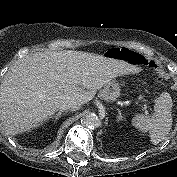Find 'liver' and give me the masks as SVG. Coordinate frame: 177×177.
<instances>
[{"instance_id": "6515ba94", "label": "liver", "mask_w": 177, "mask_h": 177, "mask_svg": "<svg viewBox=\"0 0 177 177\" xmlns=\"http://www.w3.org/2000/svg\"><path fill=\"white\" fill-rule=\"evenodd\" d=\"M136 71L123 60L83 51L27 55L8 70L0 86L2 129L12 136L29 131L63 102L85 104L114 78Z\"/></svg>"}]
</instances>
